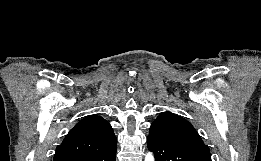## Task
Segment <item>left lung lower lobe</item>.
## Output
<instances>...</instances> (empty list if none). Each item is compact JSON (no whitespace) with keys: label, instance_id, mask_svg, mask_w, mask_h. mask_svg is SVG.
Returning <instances> with one entry per match:
<instances>
[{"label":"left lung lower lobe","instance_id":"1","mask_svg":"<svg viewBox=\"0 0 261 161\" xmlns=\"http://www.w3.org/2000/svg\"><path fill=\"white\" fill-rule=\"evenodd\" d=\"M147 145L155 155V161H211L209 150L167 144L149 137Z\"/></svg>","mask_w":261,"mask_h":161}]
</instances>
